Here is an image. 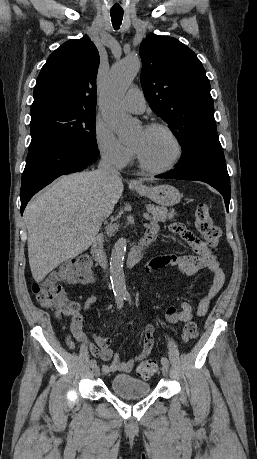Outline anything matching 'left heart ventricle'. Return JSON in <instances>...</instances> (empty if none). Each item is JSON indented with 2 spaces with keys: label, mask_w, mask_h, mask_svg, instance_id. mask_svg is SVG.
Segmentation results:
<instances>
[{
  "label": "left heart ventricle",
  "mask_w": 257,
  "mask_h": 459,
  "mask_svg": "<svg viewBox=\"0 0 257 459\" xmlns=\"http://www.w3.org/2000/svg\"><path fill=\"white\" fill-rule=\"evenodd\" d=\"M132 144L138 149L144 161L153 167L167 165L176 152L172 139L160 129L141 128Z\"/></svg>",
  "instance_id": "obj_1"
}]
</instances>
